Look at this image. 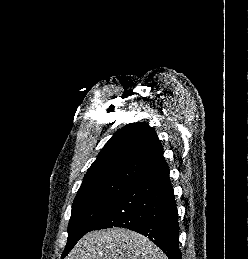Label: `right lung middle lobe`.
<instances>
[{
  "label": "right lung middle lobe",
  "instance_id": "dd1d6c3e",
  "mask_svg": "<svg viewBox=\"0 0 248 259\" xmlns=\"http://www.w3.org/2000/svg\"><path fill=\"white\" fill-rule=\"evenodd\" d=\"M131 185L126 182L109 181L80 187L72 205L68 241L62 258L111 209Z\"/></svg>",
  "mask_w": 248,
  "mask_h": 259
}]
</instances>
